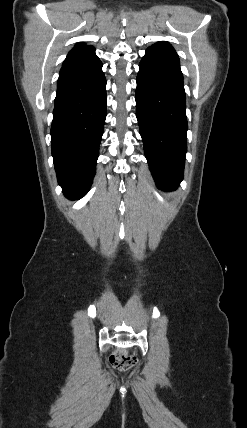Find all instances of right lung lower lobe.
<instances>
[{
	"label": "right lung lower lobe",
	"instance_id": "98d812e1",
	"mask_svg": "<svg viewBox=\"0 0 247 428\" xmlns=\"http://www.w3.org/2000/svg\"><path fill=\"white\" fill-rule=\"evenodd\" d=\"M106 79L95 55L62 67L51 126L52 155L59 185L69 199L92 184L106 118Z\"/></svg>",
	"mask_w": 247,
	"mask_h": 428
}]
</instances>
